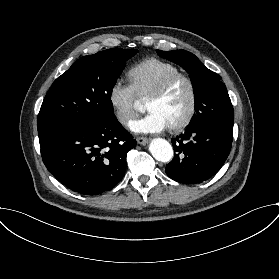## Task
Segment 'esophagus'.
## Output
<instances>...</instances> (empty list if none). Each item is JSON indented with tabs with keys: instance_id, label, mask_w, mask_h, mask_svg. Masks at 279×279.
Listing matches in <instances>:
<instances>
[{
	"instance_id": "obj_1",
	"label": "esophagus",
	"mask_w": 279,
	"mask_h": 279,
	"mask_svg": "<svg viewBox=\"0 0 279 279\" xmlns=\"http://www.w3.org/2000/svg\"><path fill=\"white\" fill-rule=\"evenodd\" d=\"M148 142V139L146 137H137V143L145 145Z\"/></svg>"
}]
</instances>
